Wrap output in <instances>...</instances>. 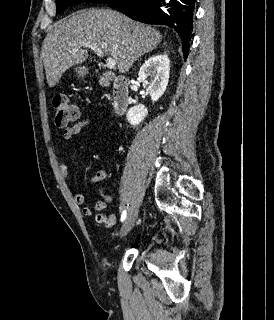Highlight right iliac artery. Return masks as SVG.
Segmentation results:
<instances>
[{"instance_id": "1", "label": "right iliac artery", "mask_w": 274, "mask_h": 320, "mask_svg": "<svg viewBox=\"0 0 274 320\" xmlns=\"http://www.w3.org/2000/svg\"><path fill=\"white\" fill-rule=\"evenodd\" d=\"M126 215H127V212H126V210H124L123 212H122V214H121V222H123L124 220H125V218H126Z\"/></svg>"}]
</instances>
